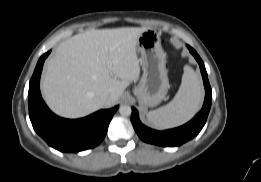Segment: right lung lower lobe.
<instances>
[{
  "label": "right lung lower lobe",
  "instance_id": "98d812e1",
  "mask_svg": "<svg viewBox=\"0 0 261 182\" xmlns=\"http://www.w3.org/2000/svg\"><path fill=\"white\" fill-rule=\"evenodd\" d=\"M49 53L40 57L29 84L28 105L32 126L48 145L59 151L79 152L93 148L104 139L118 106L76 120L52 113L42 100L39 88L43 64Z\"/></svg>",
  "mask_w": 261,
  "mask_h": 182
}]
</instances>
